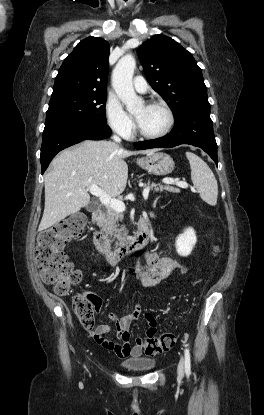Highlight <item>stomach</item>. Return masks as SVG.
Listing matches in <instances>:
<instances>
[{
  "mask_svg": "<svg viewBox=\"0 0 264 415\" xmlns=\"http://www.w3.org/2000/svg\"><path fill=\"white\" fill-rule=\"evenodd\" d=\"M137 164L156 176L170 174L175 167L173 159L166 153L154 152L137 160Z\"/></svg>",
  "mask_w": 264,
  "mask_h": 415,
  "instance_id": "0dacf381",
  "label": "stomach"
}]
</instances>
